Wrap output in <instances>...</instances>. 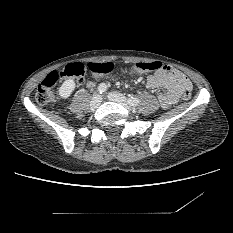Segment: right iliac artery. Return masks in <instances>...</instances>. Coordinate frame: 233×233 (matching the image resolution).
<instances>
[{"instance_id": "1", "label": "right iliac artery", "mask_w": 233, "mask_h": 233, "mask_svg": "<svg viewBox=\"0 0 233 233\" xmlns=\"http://www.w3.org/2000/svg\"><path fill=\"white\" fill-rule=\"evenodd\" d=\"M106 90H107V86H106L104 83H101V84L98 86V92H99V94L105 93Z\"/></svg>"}]
</instances>
